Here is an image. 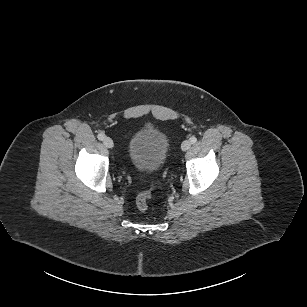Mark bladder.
<instances>
[{
  "instance_id": "obj_1",
  "label": "bladder",
  "mask_w": 307,
  "mask_h": 307,
  "mask_svg": "<svg viewBox=\"0 0 307 307\" xmlns=\"http://www.w3.org/2000/svg\"><path fill=\"white\" fill-rule=\"evenodd\" d=\"M168 150L169 143L165 134L151 126L135 131L127 145L130 162L139 171L146 173H153L163 165Z\"/></svg>"
}]
</instances>
